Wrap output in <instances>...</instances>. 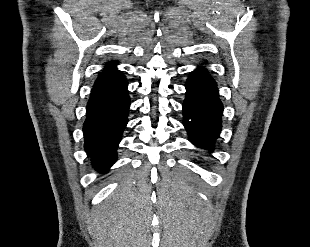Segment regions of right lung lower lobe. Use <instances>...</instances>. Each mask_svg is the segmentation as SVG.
<instances>
[{"instance_id": "obj_1", "label": "right lung lower lobe", "mask_w": 310, "mask_h": 247, "mask_svg": "<svg viewBox=\"0 0 310 247\" xmlns=\"http://www.w3.org/2000/svg\"><path fill=\"white\" fill-rule=\"evenodd\" d=\"M130 98L127 82L95 85L83 125L85 150L97 171L105 172L116 161V149L128 122Z\"/></svg>"}]
</instances>
